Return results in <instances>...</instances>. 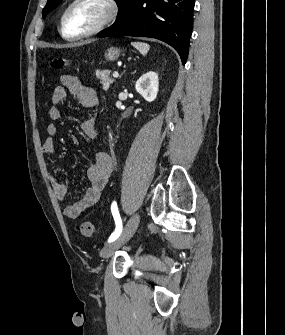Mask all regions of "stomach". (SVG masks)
Returning <instances> with one entry per match:
<instances>
[{"label": "stomach", "instance_id": "stomach-1", "mask_svg": "<svg viewBox=\"0 0 285 335\" xmlns=\"http://www.w3.org/2000/svg\"><path fill=\"white\" fill-rule=\"evenodd\" d=\"M120 54L121 50H119V48H108L104 56L107 62H114V60H117V58H119Z\"/></svg>", "mask_w": 285, "mask_h": 335}]
</instances>
